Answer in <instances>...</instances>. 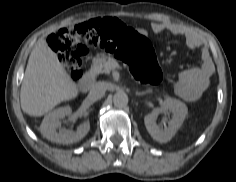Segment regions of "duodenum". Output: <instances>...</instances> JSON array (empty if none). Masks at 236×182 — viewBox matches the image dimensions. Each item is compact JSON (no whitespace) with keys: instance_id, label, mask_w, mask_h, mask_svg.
Segmentation results:
<instances>
[{"instance_id":"obj_1","label":"duodenum","mask_w":236,"mask_h":182,"mask_svg":"<svg viewBox=\"0 0 236 182\" xmlns=\"http://www.w3.org/2000/svg\"><path fill=\"white\" fill-rule=\"evenodd\" d=\"M95 77L93 73L88 72L84 79L79 83L78 88L81 93H86L92 87Z\"/></svg>"}]
</instances>
